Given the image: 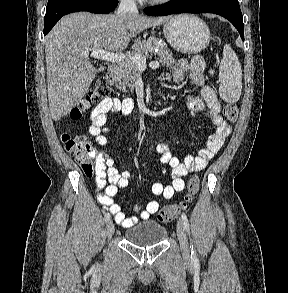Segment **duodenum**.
<instances>
[{
  "label": "duodenum",
  "instance_id": "1",
  "mask_svg": "<svg viewBox=\"0 0 288 293\" xmlns=\"http://www.w3.org/2000/svg\"><path fill=\"white\" fill-rule=\"evenodd\" d=\"M118 71H119V67H118L117 64H111L108 67L107 80H108L109 83H114V81H115V79L117 77Z\"/></svg>",
  "mask_w": 288,
  "mask_h": 293
}]
</instances>
